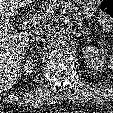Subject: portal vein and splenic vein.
<instances>
[{
  "instance_id": "1",
  "label": "portal vein and splenic vein",
  "mask_w": 113,
  "mask_h": 113,
  "mask_svg": "<svg viewBox=\"0 0 113 113\" xmlns=\"http://www.w3.org/2000/svg\"><path fill=\"white\" fill-rule=\"evenodd\" d=\"M61 12L65 13L64 10H61ZM35 24H37V18H36L35 16L30 17V18H29V21H26V22L24 23V25H25L26 27H28V28H29L30 26H34Z\"/></svg>"
}]
</instances>
